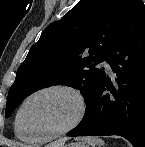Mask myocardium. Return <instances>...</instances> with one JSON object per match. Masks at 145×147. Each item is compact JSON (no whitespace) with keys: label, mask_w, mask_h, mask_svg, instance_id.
I'll list each match as a JSON object with an SVG mask.
<instances>
[{"label":"myocardium","mask_w":145,"mask_h":147,"mask_svg":"<svg viewBox=\"0 0 145 147\" xmlns=\"http://www.w3.org/2000/svg\"><path fill=\"white\" fill-rule=\"evenodd\" d=\"M54 91H60V92H65L67 94H70L77 102V113L73 120L67 124L66 126L47 133H42V134H36V135H27L30 140L32 141H39V140H45L49 138H55L61 135H64L70 131H72L74 128H76L83 120L85 113H86V102L85 99L82 95V93L75 87L66 85V84H54V85H49L45 86L43 88H40L32 93H30L20 104L16 117H15V126L21 130V116L23 113V110L27 103L35 98L38 95L48 93V92H54Z\"/></svg>","instance_id":"f54148a6"}]
</instances>
